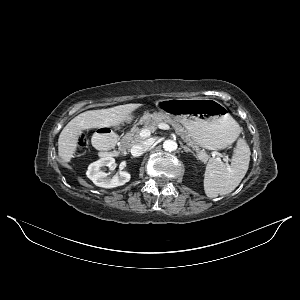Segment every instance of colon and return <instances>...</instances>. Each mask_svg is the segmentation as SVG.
<instances>
[{
  "instance_id": "5ec220e1",
  "label": "colon",
  "mask_w": 300,
  "mask_h": 300,
  "mask_svg": "<svg viewBox=\"0 0 300 300\" xmlns=\"http://www.w3.org/2000/svg\"><path fill=\"white\" fill-rule=\"evenodd\" d=\"M87 143V139L85 136H81L78 140V146L81 148V147H84Z\"/></svg>"
}]
</instances>
